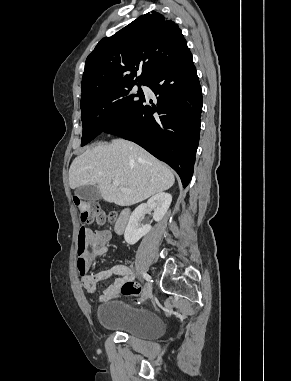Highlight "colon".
Instances as JSON below:
<instances>
[{"instance_id":"obj_1","label":"colon","mask_w":291,"mask_h":381,"mask_svg":"<svg viewBox=\"0 0 291 381\" xmlns=\"http://www.w3.org/2000/svg\"><path fill=\"white\" fill-rule=\"evenodd\" d=\"M74 204L78 209L80 218L83 222L103 224L107 220H114V215H106L97 203L76 197L74 199ZM89 237V230L84 227L80 228L77 240V251L79 267L83 269L87 267ZM120 291L125 296H131L139 294L141 289L135 282H126L121 286Z\"/></svg>"}]
</instances>
